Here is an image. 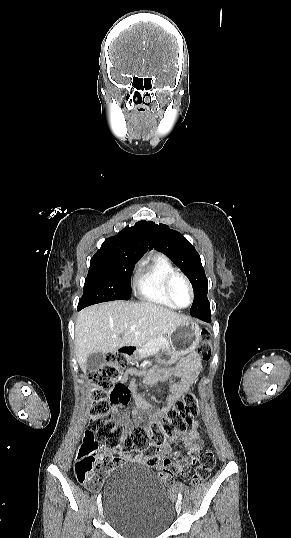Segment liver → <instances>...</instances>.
Listing matches in <instances>:
<instances>
[{
  "instance_id": "obj_1",
  "label": "liver",
  "mask_w": 291,
  "mask_h": 538,
  "mask_svg": "<svg viewBox=\"0 0 291 538\" xmlns=\"http://www.w3.org/2000/svg\"><path fill=\"white\" fill-rule=\"evenodd\" d=\"M189 320L151 302L112 301L85 308L79 312L75 326L77 361L86 372L90 354L141 346Z\"/></svg>"
}]
</instances>
